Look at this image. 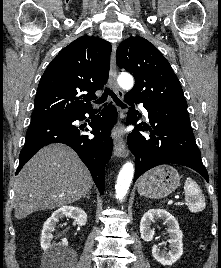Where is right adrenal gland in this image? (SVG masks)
Instances as JSON below:
<instances>
[{"instance_id": "2a0ac1e0", "label": "right adrenal gland", "mask_w": 221, "mask_h": 268, "mask_svg": "<svg viewBox=\"0 0 221 268\" xmlns=\"http://www.w3.org/2000/svg\"><path fill=\"white\" fill-rule=\"evenodd\" d=\"M91 192H88L87 195L84 196V198L90 199Z\"/></svg>"}]
</instances>
